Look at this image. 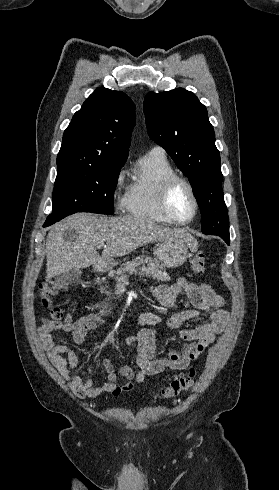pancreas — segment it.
<instances>
[{"label":"pancreas","instance_id":"1","mask_svg":"<svg viewBox=\"0 0 279 490\" xmlns=\"http://www.w3.org/2000/svg\"><path fill=\"white\" fill-rule=\"evenodd\" d=\"M143 264H146V266H143ZM137 270H140L138 274L140 278L149 276V278L158 280V282H169V280H171L167 272H165L164 266H160L157 260H155V262H146V260H132V262H125V264H122V268L117 270L116 274L117 276H126V274H134ZM104 290L105 288H101L102 294H110V292H104Z\"/></svg>","mask_w":279,"mask_h":490}]
</instances>
